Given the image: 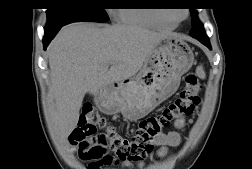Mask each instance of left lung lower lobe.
Here are the masks:
<instances>
[{
    "instance_id": "obj_1",
    "label": "left lung lower lobe",
    "mask_w": 252,
    "mask_h": 169,
    "mask_svg": "<svg viewBox=\"0 0 252 169\" xmlns=\"http://www.w3.org/2000/svg\"><path fill=\"white\" fill-rule=\"evenodd\" d=\"M190 36L196 38L201 43H203L204 45H206L209 49H211V44H210L209 38L206 35L205 30H198L195 33H190Z\"/></svg>"
}]
</instances>
